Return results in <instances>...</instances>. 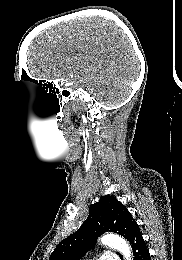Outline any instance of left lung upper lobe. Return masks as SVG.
Instances as JSON below:
<instances>
[{
	"mask_svg": "<svg viewBox=\"0 0 182 260\" xmlns=\"http://www.w3.org/2000/svg\"><path fill=\"white\" fill-rule=\"evenodd\" d=\"M136 226L131 213L120 201L113 196H102L90 206L81 227L56 246L49 260H80L104 232H115L128 239Z\"/></svg>",
	"mask_w": 182,
	"mask_h": 260,
	"instance_id": "left-lung-upper-lobe-1",
	"label": "left lung upper lobe"
}]
</instances>
